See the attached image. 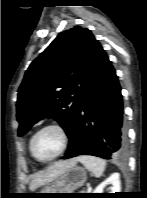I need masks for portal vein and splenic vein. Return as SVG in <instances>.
I'll return each instance as SVG.
<instances>
[{
    "label": "portal vein and splenic vein",
    "instance_id": "1",
    "mask_svg": "<svg viewBox=\"0 0 147 198\" xmlns=\"http://www.w3.org/2000/svg\"><path fill=\"white\" fill-rule=\"evenodd\" d=\"M88 190H91V187L90 186L88 187Z\"/></svg>",
    "mask_w": 147,
    "mask_h": 198
}]
</instances>
